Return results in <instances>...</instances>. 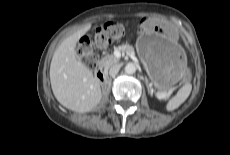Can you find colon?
<instances>
[{
    "label": "colon",
    "mask_w": 230,
    "mask_h": 155,
    "mask_svg": "<svg viewBox=\"0 0 230 155\" xmlns=\"http://www.w3.org/2000/svg\"><path fill=\"white\" fill-rule=\"evenodd\" d=\"M124 34L123 27L118 23L106 22L102 27L97 29L94 37L90 39L87 35L80 37L78 44V53L83 62L89 67L96 66L97 58L94 53V47L105 48L111 43L121 38Z\"/></svg>",
    "instance_id": "obj_1"
}]
</instances>
